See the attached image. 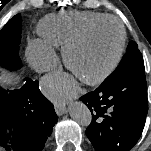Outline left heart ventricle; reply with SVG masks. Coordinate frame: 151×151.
Masks as SVG:
<instances>
[{
    "mask_svg": "<svg viewBox=\"0 0 151 151\" xmlns=\"http://www.w3.org/2000/svg\"><path fill=\"white\" fill-rule=\"evenodd\" d=\"M120 40L118 27L107 22L94 29L85 42L71 53L73 72L90 78L103 71L115 58Z\"/></svg>",
    "mask_w": 151,
    "mask_h": 151,
    "instance_id": "obj_1",
    "label": "left heart ventricle"
}]
</instances>
